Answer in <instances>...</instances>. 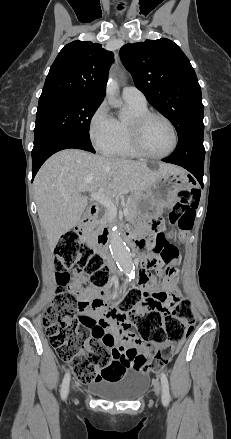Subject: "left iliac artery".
Listing matches in <instances>:
<instances>
[{
  "mask_svg": "<svg viewBox=\"0 0 231 439\" xmlns=\"http://www.w3.org/2000/svg\"><path fill=\"white\" fill-rule=\"evenodd\" d=\"M161 385H162V403L167 406L170 402L169 382L164 372L161 373Z\"/></svg>",
  "mask_w": 231,
  "mask_h": 439,
  "instance_id": "obj_1",
  "label": "left iliac artery"
}]
</instances>
